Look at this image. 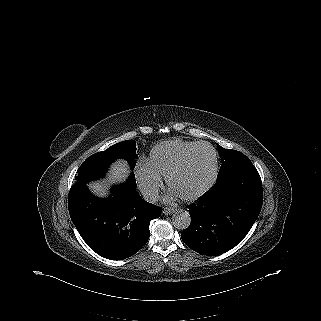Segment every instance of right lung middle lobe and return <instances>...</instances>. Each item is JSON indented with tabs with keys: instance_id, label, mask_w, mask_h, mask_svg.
<instances>
[{
	"instance_id": "right-lung-middle-lobe-1",
	"label": "right lung middle lobe",
	"mask_w": 321,
	"mask_h": 321,
	"mask_svg": "<svg viewBox=\"0 0 321 321\" xmlns=\"http://www.w3.org/2000/svg\"><path fill=\"white\" fill-rule=\"evenodd\" d=\"M137 157L135 140H126L114 144L105 151L93 154L84 161L77 170L78 176L76 178V183L73 186H86L88 181L102 177L109 165L118 158L127 160L131 170H133L136 165L135 160ZM123 185L131 189H136L137 185L134 173L130 174L129 179Z\"/></svg>"
}]
</instances>
